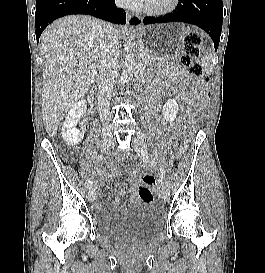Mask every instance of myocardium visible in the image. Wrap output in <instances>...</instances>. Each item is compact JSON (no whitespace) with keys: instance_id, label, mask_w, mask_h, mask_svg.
I'll list each match as a JSON object with an SVG mask.
<instances>
[{"instance_id":"myocardium-1","label":"myocardium","mask_w":265,"mask_h":273,"mask_svg":"<svg viewBox=\"0 0 265 273\" xmlns=\"http://www.w3.org/2000/svg\"><path fill=\"white\" fill-rule=\"evenodd\" d=\"M180 0H171L170 3L162 8H155L147 3L141 4L140 10L148 15L161 16L173 12L179 5Z\"/></svg>"}]
</instances>
